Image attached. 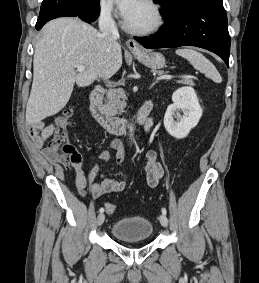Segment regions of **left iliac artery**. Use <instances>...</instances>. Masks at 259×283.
<instances>
[{"instance_id": "1", "label": "left iliac artery", "mask_w": 259, "mask_h": 283, "mask_svg": "<svg viewBox=\"0 0 259 283\" xmlns=\"http://www.w3.org/2000/svg\"><path fill=\"white\" fill-rule=\"evenodd\" d=\"M162 213H163L164 215H166V214H167V210H166L165 208H162Z\"/></svg>"}]
</instances>
